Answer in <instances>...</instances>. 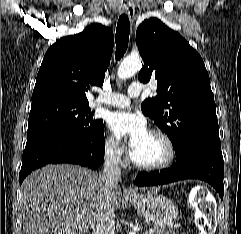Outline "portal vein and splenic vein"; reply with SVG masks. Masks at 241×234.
<instances>
[{"mask_svg": "<svg viewBox=\"0 0 241 234\" xmlns=\"http://www.w3.org/2000/svg\"><path fill=\"white\" fill-rule=\"evenodd\" d=\"M152 232H153V231H150L149 234H152ZM146 234H148V232H147Z\"/></svg>", "mask_w": 241, "mask_h": 234, "instance_id": "obj_1", "label": "portal vein and splenic vein"}]
</instances>
